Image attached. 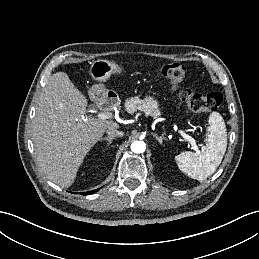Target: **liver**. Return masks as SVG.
<instances>
[{
	"instance_id": "6515ba94",
	"label": "liver",
	"mask_w": 259,
	"mask_h": 259,
	"mask_svg": "<svg viewBox=\"0 0 259 259\" xmlns=\"http://www.w3.org/2000/svg\"><path fill=\"white\" fill-rule=\"evenodd\" d=\"M87 99L64 72L53 74L39 97L33 119L32 140L38 166L63 188L75 180L91 148L113 120L85 117Z\"/></svg>"
}]
</instances>
